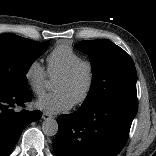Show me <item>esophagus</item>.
I'll return each mask as SVG.
<instances>
[{
	"label": "esophagus",
	"mask_w": 156,
	"mask_h": 156,
	"mask_svg": "<svg viewBox=\"0 0 156 156\" xmlns=\"http://www.w3.org/2000/svg\"><path fill=\"white\" fill-rule=\"evenodd\" d=\"M42 118H43L44 120H47V119L52 118V115H50V114L47 113V112H44V113L42 114Z\"/></svg>",
	"instance_id": "1"
}]
</instances>
